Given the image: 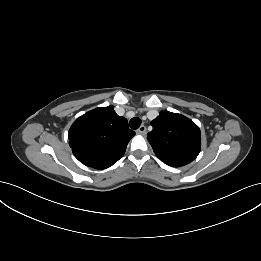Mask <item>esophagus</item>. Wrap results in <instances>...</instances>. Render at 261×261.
<instances>
[{
	"mask_svg": "<svg viewBox=\"0 0 261 261\" xmlns=\"http://www.w3.org/2000/svg\"><path fill=\"white\" fill-rule=\"evenodd\" d=\"M136 132L137 134L144 135L146 134V127L144 125H141Z\"/></svg>",
	"mask_w": 261,
	"mask_h": 261,
	"instance_id": "34e87169",
	"label": "esophagus"
}]
</instances>
